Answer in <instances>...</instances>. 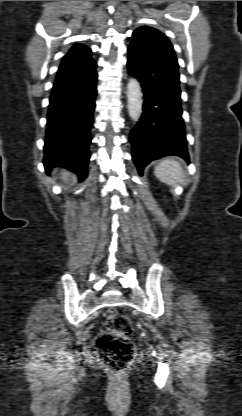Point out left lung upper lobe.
Listing matches in <instances>:
<instances>
[{
    "label": "left lung upper lobe",
    "instance_id": "left-lung-upper-lobe-1",
    "mask_svg": "<svg viewBox=\"0 0 242 416\" xmlns=\"http://www.w3.org/2000/svg\"><path fill=\"white\" fill-rule=\"evenodd\" d=\"M134 33L147 34V35L151 36L152 38L160 41L166 48H168L170 50V52L172 53L175 61L177 62L172 44L166 38V36H164L161 32H159L158 30H156L154 28L144 26V27L138 28Z\"/></svg>",
    "mask_w": 242,
    "mask_h": 416
}]
</instances>
